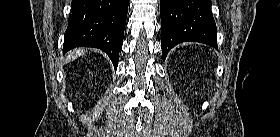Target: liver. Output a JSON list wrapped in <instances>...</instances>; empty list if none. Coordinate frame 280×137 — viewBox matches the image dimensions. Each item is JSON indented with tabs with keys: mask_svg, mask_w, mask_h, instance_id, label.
Segmentation results:
<instances>
[{
	"mask_svg": "<svg viewBox=\"0 0 280 137\" xmlns=\"http://www.w3.org/2000/svg\"><path fill=\"white\" fill-rule=\"evenodd\" d=\"M84 52L83 49H77V50H74L70 53H68V55L66 56V62H69L73 59H76L77 57H79L82 53Z\"/></svg>",
	"mask_w": 280,
	"mask_h": 137,
	"instance_id": "1",
	"label": "liver"
}]
</instances>
